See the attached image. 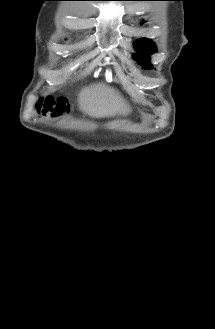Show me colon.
I'll return each instance as SVG.
<instances>
[{
  "mask_svg": "<svg viewBox=\"0 0 215 329\" xmlns=\"http://www.w3.org/2000/svg\"><path fill=\"white\" fill-rule=\"evenodd\" d=\"M63 37L67 38L68 44H76L77 38L74 37L73 31H64ZM37 108L39 114H67L68 108L66 107L67 96H42L40 98ZM42 106V107H41Z\"/></svg>",
  "mask_w": 215,
  "mask_h": 329,
  "instance_id": "5ec220e1",
  "label": "colon"
}]
</instances>
